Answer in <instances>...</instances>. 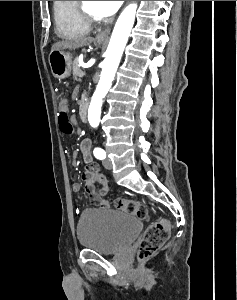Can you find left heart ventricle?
I'll return each mask as SVG.
<instances>
[{
  "label": "left heart ventricle",
  "instance_id": "b2bd125f",
  "mask_svg": "<svg viewBox=\"0 0 237 300\" xmlns=\"http://www.w3.org/2000/svg\"><path fill=\"white\" fill-rule=\"evenodd\" d=\"M84 5L92 14L105 17L100 7V1H84Z\"/></svg>",
  "mask_w": 237,
  "mask_h": 300
}]
</instances>
